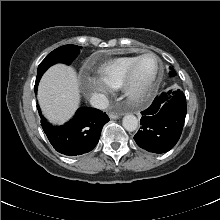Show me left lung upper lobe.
Returning <instances> with one entry per match:
<instances>
[{
	"label": "left lung upper lobe",
	"mask_w": 220,
	"mask_h": 220,
	"mask_svg": "<svg viewBox=\"0 0 220 220\" xmlns=\"http://www.w3.org/2000/svg\"><path fill=\"white\" fill-rule=\"evenodd\" d=\"M169 75H170V76H175L176 73H175L174 71H171V72L169 73Z\"/></svg>",
	"instance_id": "5c2ea615"
}]
</instances>
